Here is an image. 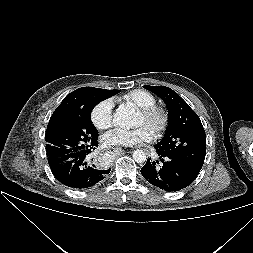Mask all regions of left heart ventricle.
Wrapping results in <instances>:
<instances>
[{
    "label": "left heart ventricle",
    "instance_id": "obj_1",
    "mask_svg": "<svg viewBox=\"0 0 253 253\" xmlns=\"http://www.w3.org/2000/svg\"><path fill=\"white\" fill-rule=\"evenodd\" d=\"M137 125H146L148 126L153 132H154V128L156 123L152 120H148L146 119L142 114H138V118H137Z\"/></svg>",
    "mask_w": 253,
    "mask_h": 253
}]
</instances>
